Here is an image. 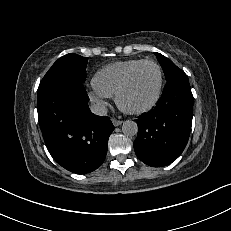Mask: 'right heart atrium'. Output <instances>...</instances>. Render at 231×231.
<instances>
[{"mask_svg": "<svg viewBox=\"0 0 231 231\" xmlns=\"http://www.w3.org/2000/svg\"><path fill=\"white\" fill-rule=\"evenodd\" d=\"M89 96L91 100L98 105L99 107L103 108L107 105V98L108 96L101 93L99 90H97L94 86L89 91Z\"/></svg>", "mask_w": 231, "mask_h": 231, "instance_id": "d8ad5b80", "label": "right heart atrium"}]
</instances>
